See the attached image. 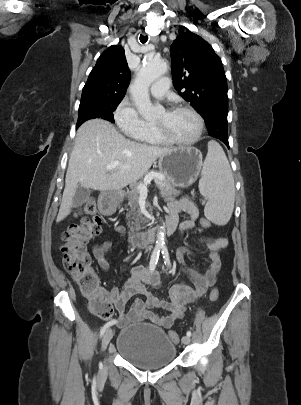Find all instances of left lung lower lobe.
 Masks as SVG:
<instances>
[{"instance_id":"0a47b994","label":"left lung lower lobe","mask_w":301,"mask_h":405,"mask_svg":"<svg viewBox=\"0 0 301 405\" xmlns=\"http://www.w3.org/2000/svg\"><path fill=\"white\" fill-rule=\"evenodd\" d=\"M223 143H225L226 146L229 147V143H228V136H219V138Z\"/></svg>"}]
</instances>
